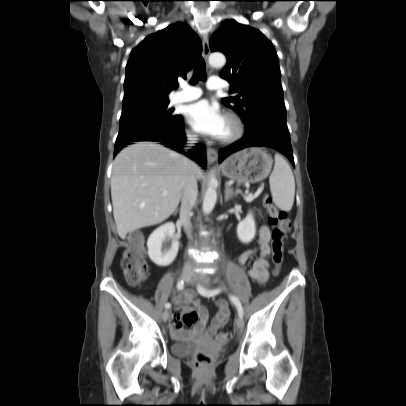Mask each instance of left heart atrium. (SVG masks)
Wrapping results in <instances>:
<instances>
[{
	"instance_id": "39dd6f15",
	"label": "left heart atrium",
	"mask_w": 406,
	"mask_h": 406,
	"mask_svg": "<svg viewBox=\"0 0 406 406\" xmlns=\"http://www.w3.org/2000/svg\"><path fill=\"white\" fill-rule=\"evenodd\" d=\"M188 123L197 132L215 138H220L225 117L219 107L205 100L189 105L186 109Z\"/></svg>"
}]
</instances>
